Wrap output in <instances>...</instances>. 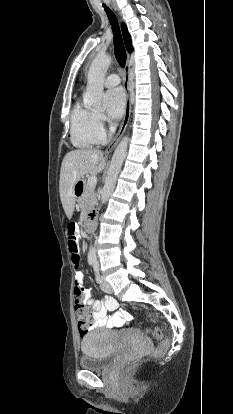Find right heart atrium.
Instances as JSON below:
<instances>
[{"label":"right heart atrium","mask_w":233,"mask_h":414,"mask_svg":"<svg viewBox=\"0 0 233 414\" xmlns=\"http://www.w3.org/2000/svg\"><path fill=\"white\" fill-rule=\"evenodd\" d=\"M96 122H97L99 132L101 134V137L104 139L105 138V127H106V124H107L106 118L101 114H97L96 115Z\"/></svg>","instance_id":"d8ad5b80"}]
</instances>
